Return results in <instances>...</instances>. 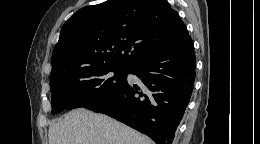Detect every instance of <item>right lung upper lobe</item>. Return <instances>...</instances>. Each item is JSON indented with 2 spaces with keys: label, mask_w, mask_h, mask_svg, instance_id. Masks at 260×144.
<instances>
[{
  "label": "right lung upper lobe",
  "mask_w": 260,
  "mask_h": 144,
  "mask_svg": "<svg viewBox=\"0 0 260 144\" xmlns=\"http://www.w3.org/2000/svg\"><path fill=\"white\" fill-rule=\"evenodd\" d=\"M188 36L166 0H107L65 22L52 54L51 77L92 66L129 67Z\"/></svg>",
  "instance_id": "cb5924a9"
}]
</instances>
